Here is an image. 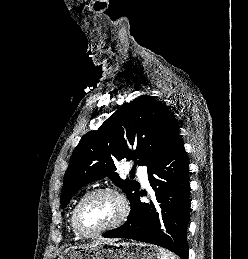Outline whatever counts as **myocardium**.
I'll use <instances>...</instances> for the list:
<instances>
[{"label":"myocardium","instance_id":"1","mask_svg":"<svg viewBox=\"0 0 248 259\" xmlns=\"http://www.w3.org/2000/svg\"><path fill=\"white\" fill-rule=\"evenodd\" d=\"M99 194H112L114 195L120 202L121 204V212L119 214V216L117 217V219L115 221H113L112 223L102 227L99 230L93 231V232H89L87 230H85L80 222V211L83 207V205L92 197L99 195ZM129 215V205L127 202V199L125 198V196L116 188L114 187H100V188H96L88 193H86L76 204L74 212H73V223H74V227L77 230V232L83 236V237H87V238H92V237H96L99 236L105 232H108L110 230H113L117 227H119L120 225H122L125 220L127 219Z\"/></svg>","mask_w":248,"mask_h":259}]
</instances>
